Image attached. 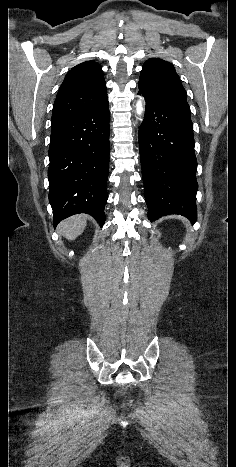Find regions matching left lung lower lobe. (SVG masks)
<instances>
[{"label":"left lung lower lobe","mask_w":236,"mask_h":467,"mask_svg":"<svg viewBox=\"0 0 236 467\" xmlns=\"http://www.w3.org/2000/svg\"><path fill=\"white\" fill-rule=\"evenodd\" d=\"M144 97L139 148L148 218L180 214L195 222L197 159L189 105Z\"/></svg>","instance_id":"left-lung-lower-lobe-1"}]
</instances>
